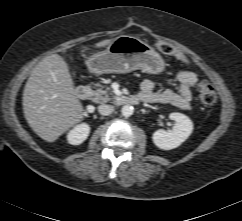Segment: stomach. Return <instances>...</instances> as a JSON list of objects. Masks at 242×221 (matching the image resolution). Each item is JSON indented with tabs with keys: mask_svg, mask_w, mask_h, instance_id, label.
Listing matches in <instances>:
<instances>
[{
	"mask_svg": "<svg viewBox=\"0 0 242 221\" xmlns=\"http://www.w3.org/2000/svg\"><path fill=\"white\" fill-rule=\"evenodd\" d=\"M91 73H127L141 70L160 74L165 69L162 56L150 45L132 36L115 38L104 51L91 55L86 62Z\"/></svg>",
	"mask_w": 242,
	"mask_h": 221,
	"instance_id": "stomach-1",
	"label": "stomach"
}]
</instances>
